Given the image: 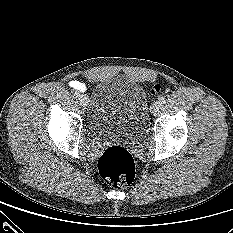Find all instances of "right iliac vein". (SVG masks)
Returning a JSON list of instances; mask_svg holds the SVG:
<instances>
[{
	"label": "right iliac vein",
	"instance_id": "1",
	"mask_svg": "<svg viewBox=\"0 0 233 233\" xmlns=\"http://www.w3.org/2000/svg\"><path fill=\"white\" fill-rule=\"evenodd\" d=\"M79 101H80L81 105H83V106H87L88 102H89L88 97L86 95H83V94L80 95Z\"/></svg>",
	"mask_w": 233,
	"mask_h": 233
}]
</instances>
